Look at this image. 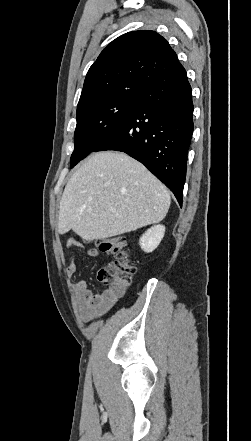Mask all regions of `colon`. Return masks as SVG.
Listing matches in <instances>:
<instances>
[{
    "instance_id": "colon-1",
    "label": "colon",
    "mask_w": 251,
    "mask_h": 441,
    "mask_svg": "<svg viewBox=\"0 0 251 441\" xmlns=\"http://www.w3.org/2000/svg\"><path fill=\"white\" fill-rule=\"evenodd\" d=\"M93 243L100 251L111 253L116 257L114 262L99 271V280L116 291H124L130 285L136 272V267L126 251L127 242L125 238L115 236L98 239Z\"/></svg>"
}]
</instances>
